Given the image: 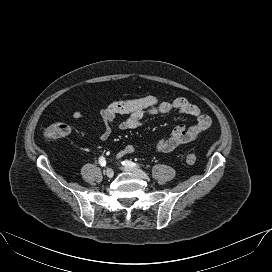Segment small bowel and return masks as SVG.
<instances>
[{
  "mask_svg": "<svg viewBox=\"0 0 272 272\" xmlns=\"http://www.w3.org/2000/svg\"><path fill=\"white\" fill-rule=\"evenodd\" d=\"M177 110L183 114L195 118L196 123L190 127L177 126L171 133L156 143V150L159 152H171L183 144H187L199 138L211 127V118L202 113L201 109L184 98H176L170 101L159 100L155 96H144L124 101H115L100 109V117L103 121L104 128L99 134L101 140H107L116 126L121 130H133L142 124L145 116L167 114ZM118 115L126 117L115 123ZM72 117L76 120L83 119L85 114L82 111L75 110ZM136 147L128 143L120 151L117 157L132 154Z\"/></svg>",
  "mask_w": 272,
  "mask_h": 272,
  "instance_id": "small-bowel-1",
  "label": "small bowel"
}]
</instances>
